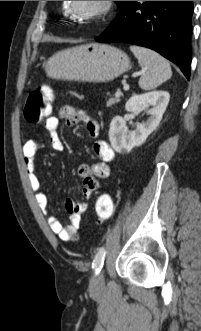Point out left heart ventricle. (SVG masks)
Returning a JSON list of instances; mask_svg holds the SVG:
<instances>
[{"mask_svg": "<svg viewBox=\"0 0 201 331\" xmlns=\"http://www.w3.org/2000/svg\"><path fill=\"white\" fill-rule=\"evenodd\" d=\"M76 10L81 14H91L96 11L98 1H75Z\"/></svg>", "mask_w": 201, "mask_h": 331, "instance_id": "b2bd125f", "label": "left heart ventricle"}]
</instances>
